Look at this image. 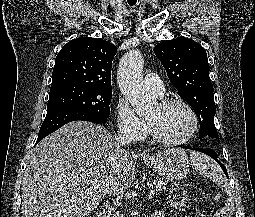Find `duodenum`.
Segmentation results:
<instances>
[{
	"label": "duodenum",
	"instance_id": "1",
	"mask_svg": "<svg viewBox=\"0 0 255 217\" xmlns=\"http://www.w3.org/2000/svg\"><path fill=\"white\" fill-rule=\"evenodd\" d=\"M154 216V215H153ZM92 217H107V211L105 209H100L96 211Z\"/></svg>",
	"mask_w": 255,
	"mask_h": 217
}]
</instances>
